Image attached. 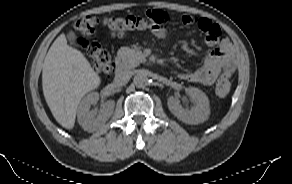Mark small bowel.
Returning <instances> with one entry per match:
<instances>
[{
  "instance_id": "c3829d8e",
  "label": "small bowel",
  "mask_w": 292,
  "mask_h": 184,
  "mask_svg": "<svg viewBox=\"0 0 292 184\" xmlns=\"http://www.w3.org/2000/svg\"><path fill=\"white\" fill-rule=\"evenodd\" d=\"M182 22L185 25L198 26L206 35V44L209 47L216 48L206 56L200 68L192 72L182 73L180 78L188 82L208 86L214 83L221 72L232 75L236 69L237 53L231 40L221 35L219 25L208 18L189 14L182 16ZM154 35L158 38H165L167 30L162 26L154 32Z\"/></svg>"
}]
</instances>
